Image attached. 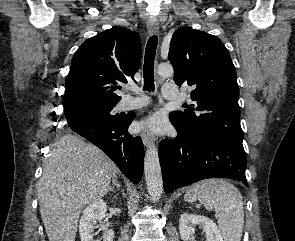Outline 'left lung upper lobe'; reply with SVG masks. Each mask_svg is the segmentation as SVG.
Instances as JSON below:
<instances>
[{"mask_svg": "<svg viewBox=\"0 0 295 241\" xmlns=\"http://www.w3.org/2000/svg\"><path fill=\"white\" fill-rule=\"evenodd\" d=\"M168 59L175 83L193 87L190 99L194 107L170 114L182 133L242 142L236 70L221 40L203 31L178 29L171 38Z\"/></svg>", "mask_w": 295, "mask_h": 241, "instance_id": "1", "label": "left lung upper lobe"}]
</instances>
